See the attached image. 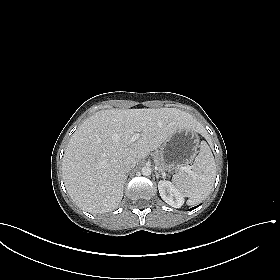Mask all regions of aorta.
Returning a JSON list of instances; mask_svg holds the SVG:
<instances>
[{"instance_id": "obj_1", "label": "aorta", "mask_w": 280, "mask_h": 280, "mask_svg": "<svg viewBox=\"0 0 280 280\" xmlns=\"http://www.w3.org/2000/svg\"><path fill=\"white\" fill-rule=\"evenodd\" d=\"M141 172L144 176H149L152 172V169L149 166H144Z\"/></svg>"}]
</instances>
